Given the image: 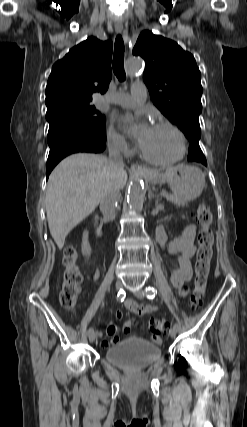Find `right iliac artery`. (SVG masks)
Returning a JSON list of instances; mask_svg holds the SVG:
<instances>
[{
    "label": "right iliac artery",
    "instance_id": "right-iliac-artery-1",
    "mask_svg": "<svg viewBox=\"0 0 247 427\" xmlns=\"http://www.w3.org/2000/svg\"><path fill=\"white\" fill-rule=\"evenodd\" d=\"M125 296H126L125 291H124L123 289H120V291H119V292H118V294H117V301H120V302L124 301ZM93 331H94V330H93V328H92V327H90V328L88 329V331H87L88 335H89L91 332H93Z\"/></svg>",
    "mask_w": 247,
    "mask_h": 427
}]
</instances>
